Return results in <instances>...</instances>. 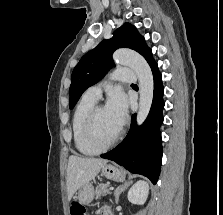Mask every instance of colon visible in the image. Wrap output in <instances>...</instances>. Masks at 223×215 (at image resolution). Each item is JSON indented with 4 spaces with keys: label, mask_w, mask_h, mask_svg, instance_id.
<instances>
[{
    "label": "colon",
    "mask_w": 223,
    "mask_h": 215,
    "mask_svg": "<svg viewBox=\"0 0 223 215\" xmlns=\"http://www.w3.org/2000/svg\"><path fill=\"white\" fill-rule=\"evenodd\" d=\"M71 215H84V208L81 204L74 202L70 208Z\"/></svg>",
    "instance_id": "1"
}]
</instances>
